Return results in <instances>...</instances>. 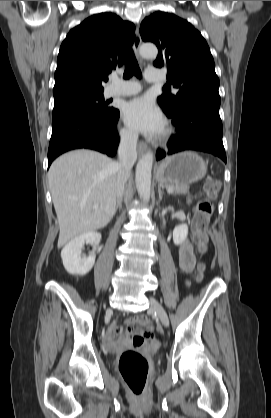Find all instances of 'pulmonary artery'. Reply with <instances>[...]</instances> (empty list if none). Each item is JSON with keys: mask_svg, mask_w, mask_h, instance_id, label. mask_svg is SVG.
Here are the masks:
<instances>
[{"mask_svg": "<svg viewBox=\"0 0 271 418\" xmlns=\"http://www.w3.org/2000/svg\"><path fill=\"white\" fill-rule=\"evenodd\" d=\"M145 78L150 83H160L164 81L162 74L153 68L145 71ZM112 85L107 89L106 95L108 97H121L135 95L140 91V85L134 81H120L113 79Z\"/></svg>", "mask_w": 271, "mask_h": 418, "instance_id": "pulmonary-artery-1", "label": "pulmonary artery"}]
</instances>
